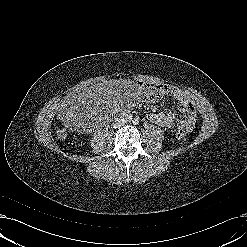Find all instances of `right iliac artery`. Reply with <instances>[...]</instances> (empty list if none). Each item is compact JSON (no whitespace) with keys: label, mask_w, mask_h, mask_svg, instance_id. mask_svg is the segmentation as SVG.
<instances>
[{"label":"right iliac artery","mask_w":247,"mask_h":247,"mask_svg":"<svg viewBox=\"0 0 247 247\" xmlns=\"http://www.w3.org/2000/svg\"><path fill=\"white\" fill-rule=\"evenodd\" d=\"M128 119L131 120L132 119L131 116H129Z\"/></svg>","instance_id":"obj_1"}]
</instances>
